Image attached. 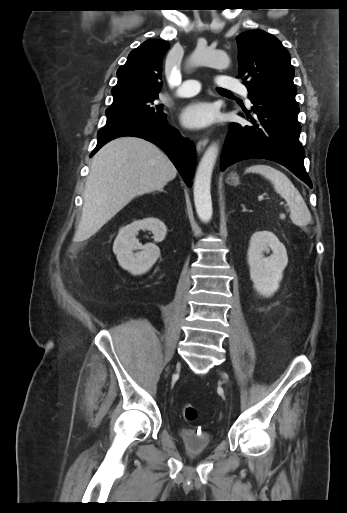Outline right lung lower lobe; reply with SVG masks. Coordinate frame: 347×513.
Instances as JSON below:
<instances>
[{
	"instance_id": "obj_1",
	"label": "right lung lower lobe",
	"mask_w": 347,
	"mask_h": 513,
	"mask_svg": "<svg viewBox=\"0 0 347 513\" xmlns=\"http://www.w3.org/2000/svg\"><path fill=\"white\" fill-rule=\"evenodd\" d=\"M121 136L140 137L160 146L166 151L185 183L191 186L196 164L194 147L166 122L165 116L158 121L128 117L107 122L97 133V146L91 156L107 142Z\"/></svg>"
}]
</instances>
